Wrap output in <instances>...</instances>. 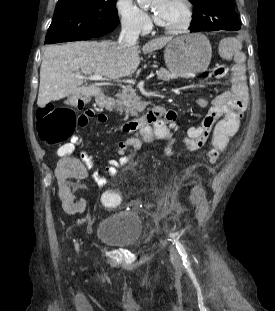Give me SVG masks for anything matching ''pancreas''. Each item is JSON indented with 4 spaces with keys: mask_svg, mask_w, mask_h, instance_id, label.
<instances>
[{
    "mask_svg": "<svg viewBox=\"0 0 275 311\" xmlns=\"http://www.w3.org/2000/svg\"><path fill=\"white\" fill-rule=\"evenodd\" d=\"M158 79L163 81H170L175 79L176 76L165 68H160L157 70ZM114 108L119 112H125L126 117L129 115H136L141 109L140 97L136 94L132 86H126L123 88L122 92L116 95L114 100Z\"/></svg>",
    "mask_w": 275,
    "mask_h": 311,
    "instance_id": "obj_1",
    "label": "pancreas"
}]
</instances>
